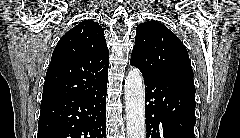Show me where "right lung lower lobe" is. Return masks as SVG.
I'll list each match as a JSON object with an SVG mask.
<instances>
[{"mask_svg":"<svg viewBox=\"0 0 240 138\" xmlns=\"http://www.w3.org/2000/svg\"><path fill=\"white\" fill-rule=\"evenodd\" d=\"M107 81L85 94L41 106L37 138H105Z\"/></svg>","mask_w":240,"mask_h":138,"instance_id":"1","label":"right lung lower lobe"}]
</instances>
